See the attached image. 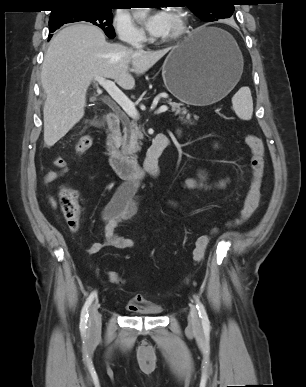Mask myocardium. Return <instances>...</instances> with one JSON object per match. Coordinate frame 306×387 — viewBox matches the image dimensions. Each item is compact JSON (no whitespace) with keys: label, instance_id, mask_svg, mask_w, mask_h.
<instances>
[{"label":"myocardium","instance_id":"f54148a6","mask_svg":"<svg viewBox=\"0 0 306 387\" xmlns=\"http://www.w3.org/2000/svg\"><path fill=\"white\" fill-rule=\"evenodd\" d=\"M170 13L177 19L175 31L167 36L166 41H174L181 38L187 31L188 18L181 8H173Z\"/></svg>","mask_w":306,"mask_h":387}]
</instances>
